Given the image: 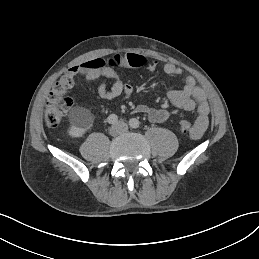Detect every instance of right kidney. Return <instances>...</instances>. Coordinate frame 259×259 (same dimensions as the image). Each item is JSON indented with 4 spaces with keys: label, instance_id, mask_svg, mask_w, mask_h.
<instances>
[{
    "label": "right kidney",
    "instance_id": "right-kidney-1",
    "mask_svg": "<svg viewBox=\"0 0 259 259\" xmlns=\"http://www.w3.org/2000/svg\"><path fill=\"white\" fill-rule=\"evenodd\" d=\"M71 128L69 135L81 137L93 124V116L89 110L82 107H74L69 115Z\"/></svg>",
    "mask_w": 259,
    "mask_h": 259
}]
</instances>
